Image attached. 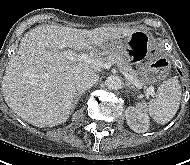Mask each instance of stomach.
Instances as JSON below:
<instances>
[{
	"label": "stomach",
	"mask_w": 190,
	"mask_h": 165,
	"mask_svg": "<svg viewBox=\"0 0 190 165\" xmlns=\"http://www.w3.org/2000/svg\"><path fill=\"white\" fill-rule=\"evenodd\" d=\"M120 53L124 61L140 75L142 82L156 84L164 78L169 65L146 33L134 32L122 39H110L97 48L99 55Z\"/></svg>",
	"instance_id": "1"
}]
</instances>
